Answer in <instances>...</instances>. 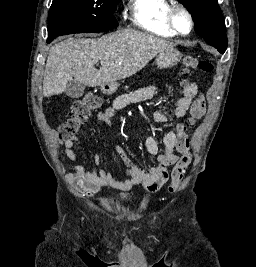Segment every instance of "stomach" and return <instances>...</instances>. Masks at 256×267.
Instances as JSON below:
<instances>
[{
	"label": "stomach",
	"instance_id": "1",
	"mask_svg": "<svg viewBox=\"0 0 256 267\" xmlns=\"http://www.w3.org/2000/svg\"><path fill=\"white\" fill-rule=\"evenodd\" d=\"M181 58L180 52H178L175 46H172V48H166L164 52L158 54L156 64L158 68H172V66L180 62Z\"/></svg>",
	"mask_w": 256,
	"mask_h": 267
}]
</instances>
